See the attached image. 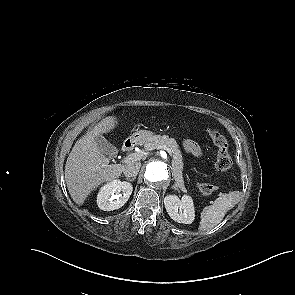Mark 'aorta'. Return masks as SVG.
Instances as JSON below:
<instances>
[{
    "instance_id": "obj_1",
    "label": "aorta",
    "mask_w": 295,
    "mask_h": 295,
    "mask_svg": "<svg viewBox=\"0 0 295 295\" xmlns=\"http://www.w3.org/2000/svg\"><path fill=\"white\" fill-rule=\"evenodd\" d=\"M144 177L146 183L149 185L165 183L169 180V170L165 163L152 161L147 164Z\"/></svg>"
}]
</instances>
